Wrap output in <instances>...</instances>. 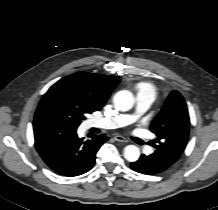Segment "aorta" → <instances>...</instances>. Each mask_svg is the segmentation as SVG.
Returning a JSON list of instances; mask_svg holds the SVG:
<instances>
[{"label":"aorta","mask_w":218,"mask_h":210,"mask_svg":"<svg viewBox=\"0 0 218 210\" xmlns=\"http://www.w3.org/2000/svg\"><path fill=\"white\" fill-rule=\"evenodd\" d=\"M115 107L121 111H128L133 107L134 97L131 92L122 90L114 95ZM124 157L129 162H135L140 157V150L135 145H128L124 148Z\"/></svg>","instance_id":"1"}]
</instances>
